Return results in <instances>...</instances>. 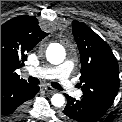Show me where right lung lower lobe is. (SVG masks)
Wrapping results in <instances>:
<instances>
[{"label": "right lung lower lobe", "instance_id": "right-lung-lower-lobe-1", "mask_svg": "<svg viewBox=\"0 0 122 122\" xmlns=\"http://www.w3.org/2000/svg\"><path fill=\"white\" fill-rule=\"evenodd\" d=\"M39 91V86L30 84L1 85V122H10L21 118L26 101Z\"/></svg>", "mask_w": 122, "mask_h": 122}]
</instances>
